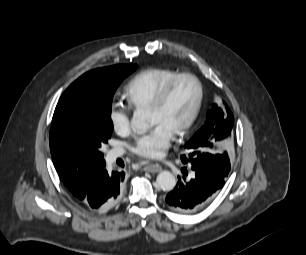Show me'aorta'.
<instances>
[{
	"label": "aorta",
	"instance_id": "aorta-1",
	"mask_svg": "<svg viewBox=\"0 0 306 255\" xmlns=\"http://www.w3.org/2000/svg\"><path fill=\"white\" fill-rule=\"evenodd\" d=\"M149 124L148 116L144 111H134L131 125L135 131L144 132L149 127ZM156 182L158 187L164 191H171L176 185L175 176L169 171L160 172L157 176Z\"/></svg>",
	"mask_w": 306,
	"mask_h": 255
}]
</instances>
